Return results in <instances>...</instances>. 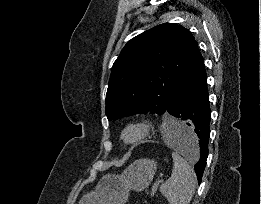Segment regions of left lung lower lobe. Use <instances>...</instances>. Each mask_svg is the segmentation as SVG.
Here are the masks:
<instances>
[{"instance_id": "1", "label": "left lung lower lobe", "mask_w": 261, "mask_h": 204, "mask_svg": "<svg viewBox=\"0 0 261 204\" xmlns=\"http://www.w3.org/2000/svg\"><path fill=\"white\" fill-rule=\"evenodd\" d=\"M165 112L166 115L170 114L179 118L188 125L178 132L177 141L183 149L193 154V157L197 159L194 168L200 184L208 156L211 110L204 59L198 45L168 102ZM194 144L198 147L197 155H195Z\"/></svg>"}]
</instances>
